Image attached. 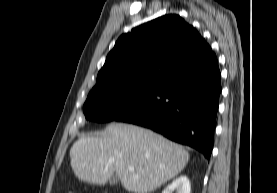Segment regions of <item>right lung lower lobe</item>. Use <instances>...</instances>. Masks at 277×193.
<instances>
[{"instance_id": "1", "label": "right lung lower lobe", "mask_w": 277, "mask_h": 193, "mask_svg": "<svg viewBox=\"0 0 277 193\" xmlns=\"http://www.w3.org/2000/svg\"><path fill=\"white\" fill-rule=\"evenodd\" d=\"M220 77L213 53L201 64L165 81L146 102L118 121L150 128L197 149L209 160L221 92Z\"/></svg>"}]
</instances>
